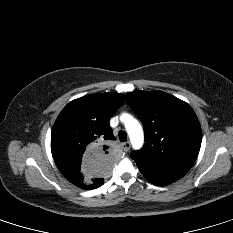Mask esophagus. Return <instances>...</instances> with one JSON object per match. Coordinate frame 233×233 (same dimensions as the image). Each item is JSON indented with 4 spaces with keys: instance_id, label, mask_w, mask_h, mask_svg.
Segmentation results:
<instances>
[{
    "instance_id": "esophagus-1",
    "label": "esophagus",
    "mask_w": 233,
    "mask_h": 233,
    "mask_svg": "<svg viewBox=\"0 0 233 233\" xmlns=\"http://www.w3.org/2000/svg\"><path fill=\"white\" fill-rule=\"evenodd\" d=\"M130 147H131V143H130V142H124V143L122 144V149H123L125 152L129 151Z\"/></svg>"
}]
</instances>
